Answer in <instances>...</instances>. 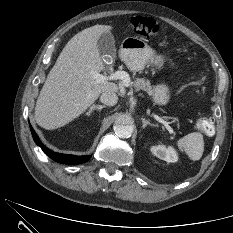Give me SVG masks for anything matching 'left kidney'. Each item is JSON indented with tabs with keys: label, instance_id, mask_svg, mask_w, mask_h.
Returning a JSON list of instances; mask_svg holds the SVG:
<instances>
[{
	"label": "left kidney",
	"instance_id": "left-kidney-1",
	"mask_svg": "<svg viewBox=\"0 0 233 233\" xmlns=\"http://www.w3.org/2000/svg\"><path fill=\"white\" fill-rule=\"evenodd\" d=\"M150 151L152 152L153 155L168 163H174L178 161V154L176 150L171 146L166 147L163 144H159L152 146L150 148Z\"/></svg>",
	"mask_w": 233,
	"mask_h": 233
}]
</instances>
